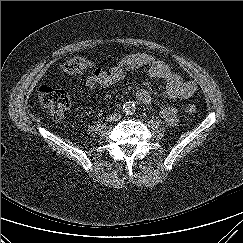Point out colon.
Returning a JSON list of instances; mask_svg holds the SVG:
<instances>
[{"mask_svg":"<svg viewBox=\"0 0 243 243\" xmlns=\"http://www.w3.org/2000/svg\"><path fill=\"white\" fill-rule=\"evenodd\" d=\"M93 67L92 61L77 56L60 64L59 69L68 74H77L91 70ZM39 100L47 114L57 121L63 119L70 107V97L67 92L48 85L40 87ZM185 112L189 115L195 114L197 112L196 105L189 103L185 107Z\"/></svg>","mask_w":243,"mask_h":243,"instance_id":"1","label":"colon"}]
</instances>
